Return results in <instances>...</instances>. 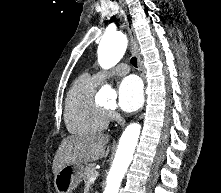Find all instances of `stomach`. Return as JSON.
<instances>
[{
    "mask_svg": "<svg viewBox=\"0 0 221 193\" xmlns=\"http://www.w3.org/2000/svg\"><path fill=\"white\" fill-rule=\"evenodd\" d=\"M84 166L82 164H71L60 169L54 177V186L58 193H72L81 183Z\"/></svg>",
    "mask_w": 221,
    "mask_h": 193,
    "instance_id": "stomach-1",
    "label": "stomach"
}]
</instances>
